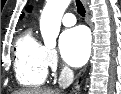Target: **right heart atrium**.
<instances>
[{
  "label": "right heart atrium",
  "instance_id": "d8ad5b80",
  "mask_svg": "<svg viewBox=\"0 0 121 94\" xmlns=\"http://www.w3.org/2000/svg\"><path fill=\"white\" fill-rule=\"evenodd\" d=\"M45 62L52 70H56L58 67L57 53L53 48L45 47Z\"/></svg>",
  "mask_w": 121,
  "mask_h": 94
}]
</instances>
